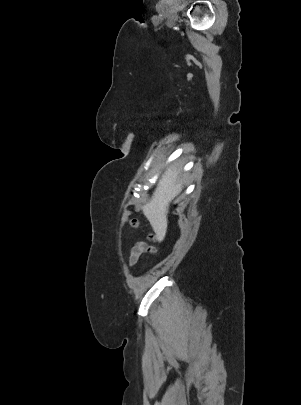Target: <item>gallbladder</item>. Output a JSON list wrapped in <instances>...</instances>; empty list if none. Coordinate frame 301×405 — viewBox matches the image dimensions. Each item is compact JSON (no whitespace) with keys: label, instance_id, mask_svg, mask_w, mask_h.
<instances>
[{"label":"gallbladder","instance_id":"obj_1","mask_svg":"<svg viewBox=\"0 0 301 405\" xmlns=\"http://www.w3.org/2000/svg\"><path fill=\"white\" fill-rule=\"evenodd\" d=\"M140 209H141L140 205H139V204H136V206H135V211L138 212V211H140Z\"/></svg>","mask_w":301,"mask_h":405}]
</instances>
